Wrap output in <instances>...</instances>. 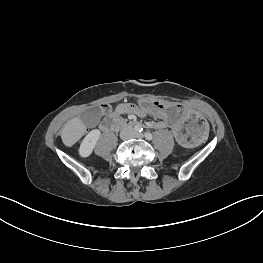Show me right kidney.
I'll return each instance as SVG.
<instances>
[{
	"label": "right kidney",
	"mask_w": 263,
	"mask_h": 263,
	"mask_svg": "<svg viewBox=\"0 0 263 263\" xmlns=\"http://www.w3.org/2000/svg\"><path fill=\"white\" fill-rule=\"evenodd\" d=\"M100 135L101 132L98 129L92 130L86 135L79 148L81 157L85 158L91 155Z\"/></svg>",
	"instance_id": "1"
}]
</instances>
